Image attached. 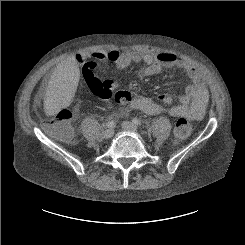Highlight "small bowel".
<instances>
[{"instance_id": "obj_1", "label": "small bowel", "mask_w": 245, "mask_h": 245, "mask_svg": "<svg viewBox=\"0 0 245 245\" xmlns=\"http://www.w3.org/2000/svg\"><path fill=\"white\" fill-rule=\"evenodd\" d=\"M91 57L98 61H112L117 69H124L131 63H144L146 67L141 74L148 77L159 74L163 68H181L190 78L191 84L179 97L178 103L161 105L151 98L138 95L132 100L129 107L147 115L165 112L173 117L183 116L191 120H198L205 113L209 97L202 76L194 66L174 54L115 49L109 51L95 50L91 53ZM76 66L77 63L74 59H67L60 65L58 71L65 73L67 70H74ZM106 87L112 91L120 86L107 82Z\"/></svg>"}]
</instances>
